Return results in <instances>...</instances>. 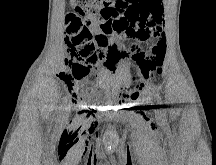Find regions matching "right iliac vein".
I'll use <instances>...</instances> for the list:
<instances>
[{
  "instance_id": "right-iliac-vein-1",
  "label": "right iliac vein",
  "mask_w": 216,
  "mask_h": 165,
  "mask_svg": "<svg viewBox=\"0 0 216 165\" xmlns=\"http://www.w3.org/2000/svg\"><path fill=\"white\" fill-rule=\"evenodd\" d=\"M63 112H64V117H67L69 115V109L68 108H66Z\"/></svg>"
}]
</instances>
